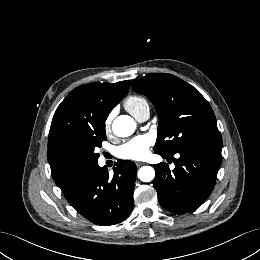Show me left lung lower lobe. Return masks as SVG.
Wrapping results in <instances>:
<instances>
[{"instance_id":"1","label":"left lung lower lobe","mask_w":260,"mask_h":260,"mask_svg":"<svg viewBox=\"0 0 260 260\" xmlns=\"http://www.w3.org/2000/svg\"><path fill=\"white\" fill-rule=\"evenodd\" d=\"M172 158L174 170L166 163L154 165V187L163 208L173 213H185L198 208L212 192L221 165L220 147H192Z\"/></svg>"}]
</instances>
